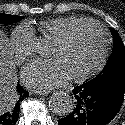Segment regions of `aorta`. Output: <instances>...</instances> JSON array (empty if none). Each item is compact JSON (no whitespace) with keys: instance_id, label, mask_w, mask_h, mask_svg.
I'll return each mask as SVG.
<instances>
[{"instance_id":"obj_1","label":"aorta","mask_w":125,"mask_h":125,"mask_svg":"<svg viewBox=\"0 0 125 125\" xmlns=\"http://www.w3.org/2000/svg\"><path fill=\"white\" fill-rule=\"evenodd\" d=\"M50 47L48 41L43 40L39 45L38 51L41 55H47L51 49ZM49 107L53 113L59 116H66L74 109V99L70 94L64 91H57L50 97Z\"/></svg>"}]
</instances>
